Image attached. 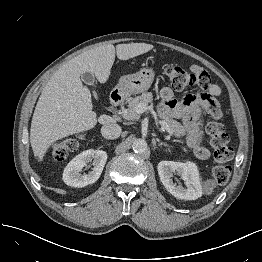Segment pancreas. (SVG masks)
Listing matches in <instances>:
<instances>
[{
    "label": "pancreas",
    "mask_w": 262,
    "mask_h": 262,
    "mask_svg": "<svg viewBox=\"0 0 262 262\" xmlns=\"http://www.w3.org/2000/svg\"><path fill=\"white\" fill-rule=\"evenodd\" d=\"M153 101V95L151 92L143 93L140 96H137L135 98L128 100V111L126 114V118L130 120H136L139 118V114L135 112V107L140 104L144 103L148 105V103H151ZM160 118L162 121L167 123L171 131L177 136H183L185 135L184 127L176 120L169 117L167 114H160ZM200 150L199 146L195 145L193 146V151L196 154Z\"/></svg>",
    "instance_id": "1"
}]
</instances>
